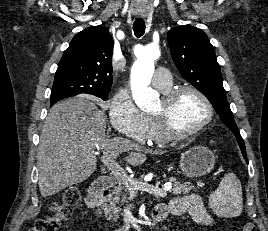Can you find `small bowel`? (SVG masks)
Segmentation results:
<instances>
[{
  "label": "small bowel",
  "mask_w": 268,
  "mask_h": 231,
  "mask_svg": "<svg viewBox=\"0 0 268 231\" xmlns=\"http://www.w3.org/2000/svg\"><path fill=\"white\" fill-rule=\"evenodd\" d=\"M168 214H188L199 224H212L210 213L207 211L202 199L196 194L174 197L167 205L159 206L153 210V216L157 220L166 218Z\"/></svg>",
  "instance_id": "c3829d8e"
}]
</instances>
